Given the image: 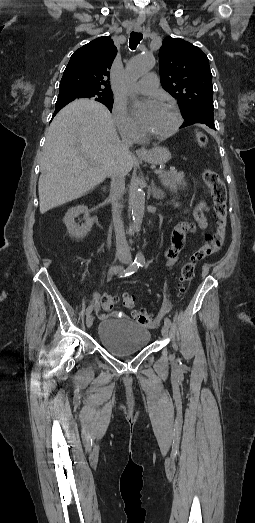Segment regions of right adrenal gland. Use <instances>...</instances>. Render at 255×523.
<instances>
[{"instance_id":"obj_1","label":"right adrenal gland","mask_w":255,"mask_h":523,"mask_svg":"<svg viewBox=\"0 0 255 523\" xmlns=\"http://www.w3.org/2000/svg\"><path fill=\"white\" fill-rule=\"evenodd\" d=\"M102 190H107V188H102Z\"/></svg>"}]
</instances>
